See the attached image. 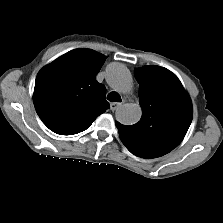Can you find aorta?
<instances>
[{
	"instance_id": "aorta-1",
	"label": "aorta",
	"mask_w": 223,
	"mask_h": 223,
	"mask_svg": "<svg viewBox=\"0 0 223 223\" xmlns=\"http://www.w3.org/2000/svg\"><path fill=\"white\" fill-rule=\"evenodd\" d=\"M107 83L116 91L126 94L130 92L133 80L130 71L121 63L113 62L106 69ZM142 116V109L138 104H124L116 112V120L123 125H133L137 123Z\"/></svg>"
}]
</instances>
